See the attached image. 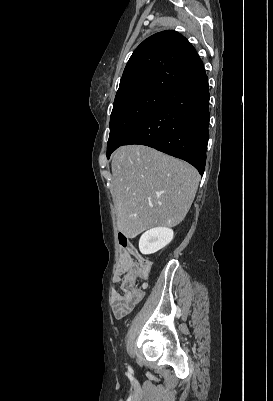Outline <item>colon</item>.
Instances as JSON below:
<instances>
[{
  "instance_id": "1",
  "label": "colon",
  "mask_w": 273,
  "mask_h": 401,
  "mask_svg": "<svg viewBox=\"0 0 273 401\" xmlns=\"http://www.w3.org/2000/svg\"><path fill=\"white\" fill-rule=\"evenodd\" d=\"M126 255L130 256L131 252L127 251ZM150 269L151 260L149 257H142L138 263L134 259L121 261L118 274L122 276V280L121 284L113 290V295L115 297H124L127 294L128 297H143L144 286L143 284H137V280L140 282L145 281L146 276L150 274ZM135 270L137 275H134Z\"/></svg>"
}]
</instances>
